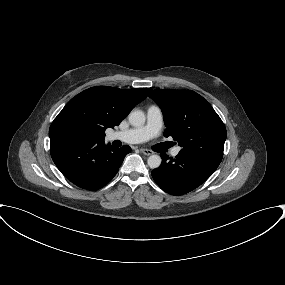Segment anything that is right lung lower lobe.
I'll return each mask as SVG.
<instances>
[{
	"label": "right lung lower lobe",
	"instance_id": "obj_1",
	"mask_svg": "<svg viewBox=\"0 0 285 285\" xmlns=\"http://www.w3.org/2000/svg\"><path fill=\"white\" fill-rule=\"evenodd\" d=\"M130 152L128 145L113 148L104 142L74 137L50 139V153L57 168L73 184L91 191L105 186Z\"/></svg>",
	"mask_w": 285,
	"mask_h": 285
}]
</instances>
